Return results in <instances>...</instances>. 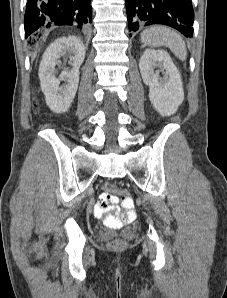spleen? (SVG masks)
I'll return each instance as SVG.
<instances>
[{
    "mask_svg": "<svg viewBox=\"0 0 227 298\" xmlns=\"http://www.w3.org/2000/svg\"><path fill=\"white\" fill-rule=\"evenodd\" d=\"M141 41L151 47L167 46L179 59L186 60L187 49L183 39L175 31L163 27L153 26L140 34Z\"/></svg>",
    "mask_w": 227,
    "mask_h": 298,
    "instance_id": "spleen-1",
    "label": "spleen"
}]
</instances>
